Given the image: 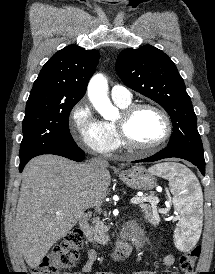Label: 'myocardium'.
Returning a JSON list of instances; mask_svg holds the SVG:
<instances>
[{
    "label": "myocardium",
    "instance_id": "1",
    "mask_svg": "<svg viewBox=\"0 0 215 274\" xmlns=\"http://www.w3.org/2000/svg\"><path fill=\"white\" fill-rule=\"evenodd\" d=\"M142 109H151L155 112H157L161 118L164 121L165 124V132L164 135L155 143L149 144V145H141L136 143L128 132V124L131 120V118L140 110ZM116 130L119 136V139L123 146L136 150V151H153L157 148L164 145L169 138L172 135L173 127L172 122L167 114V112L159 107L158 105L152 104V103H136V104H130L126 108H124L120 114V117L115 122Z\"/></svg>",
    "mask_w": 215,
    "mask_h": 274
}]
</instances>
